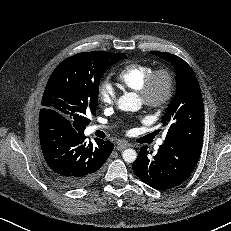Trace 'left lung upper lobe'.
Wrapping results in <instances>:
<instances>
[{
    "mask_svg": "<svg viewBox=\"0 0 231 231\" xmlns=\"http://www.w3.org/2000/svg\"><path fill=\"white\" fill-rule=\"evenodd\" d=\"M151 53L171 62L176 72L177 93L161 120L163 126L168 128L164 144L201 151L204 108L200 86L193 70L178 56L159 51Z\"/></svg>",
    "mask_w": 231,
    "mask_h": 231,
    "instance_id": "1",
    "label": "left lung upper lobe"
}]
</instances>
